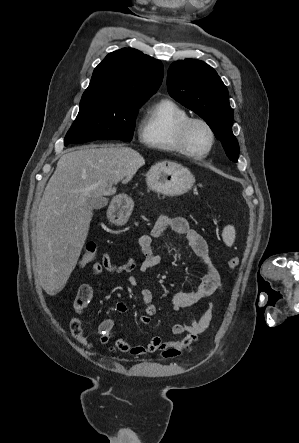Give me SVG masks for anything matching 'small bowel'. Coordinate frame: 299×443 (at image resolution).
<instances>
[{
	"label": "small bowel",
	"instance_id": "obj_1",
	"mask_svg": "<svg viewBox=\"0 0 299 443\" xmlns=\"http://www.w3.org/2000/svg\"><path fill=\"white\" fill-rule=\"evenodd\" d=\"M172 230L175 234L183 235L192 249L194 255L199 259L205 268V275L195 291L176 293L171 300L172 310L179 312L180 310L196 304L203 298L210 297L218 292L223 291V283L220 271L214 263L208 244L204 237L196 230L192 229L187 221L182 217H171L165 214L159 215L155 221L151 234H143L138 239V246L144 259L141 263H137L134 258H128L125 262L118 263L111 259L110 255L105 253L101 262L91 265L90 274L96 278L102 274L104 270L111 273L133 272L128 278V283L135 287L139 283V275L148 269L157 266L162 261L161 255L153 248V239L162 235L166 230ZM93 288L90 284H82L77 292L74 302L76 316L70 320L69 329L72 337L83 347L90 348L91 343L84 336L80 315H82L91 300L93 299ZM142 300L145 304L146 314L140 317V323L148 325L152 316L156 313V306L153 303V296L149 289L143 288L140 292ZM216 309V303L211 301L200 318L190 324H175L172 327L174 335L184 336L178 340L165 341L159 336H153L150 341L145 344L130 343L122 338L113 340L112 333L115 323L112 319L103 320L98 331L100 342L108 346L112 352H121L133 356H142L154 352H161L165 358L179 356L183 351L191 349L192 344L197 340L199 334L205 331L211 324ZM115 310L124 314L128 308L125 302L119 301L115 305Z\"/></svg>",
	"mask_w": 299,
	"mask_h": 443
}]
</instances>
